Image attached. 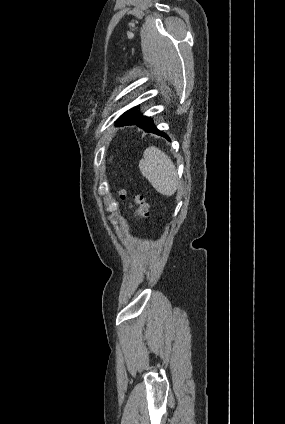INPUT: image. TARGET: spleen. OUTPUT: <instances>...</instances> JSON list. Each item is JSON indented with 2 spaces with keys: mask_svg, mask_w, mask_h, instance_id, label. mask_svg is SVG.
Returning <instances> with one entry per match:
<instances>
[{
  "mask_svg": "<svg viewBox=\"0 0 285 424\" xmlns=\"http://www.w3.org/2000/svg\"><path fill=\"white\" fill-rule=\"evenodd\" d=\"M139 169L156 191L173 195L178 187L177 171L168 155L155 146L148 147L139 161Z\"/></svg>",
  "mask_w": 285,
  "mask_h": 424,
  "instance_id": "spleen-1",
  "label": "spleen"
}]
</instances>
